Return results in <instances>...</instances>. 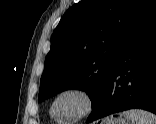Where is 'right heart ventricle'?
Returning a JSON list of instances; mask_svg holds the SVG:
<instances>
[{
  "mask_svg": "<svg viewBox=\"0 0 156 124\" xmlns=\"http://www.w3.org/2000/svg\"><path fill=\"white\" fill-rule=\"evenodd\" d=\"M50 116L52 117V119H54V121H56V122H58V123H64L63 120L58 119V118H55L51 113H50Z\"/></svg>",
  "mask_w": 156,
  "mask_h": 124,
  "instance_id": "right-heart-ventricle-1",
  "label": "right heart ventricle"
}]
</instances>
